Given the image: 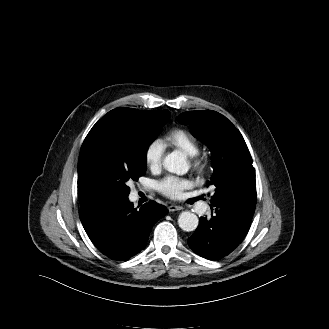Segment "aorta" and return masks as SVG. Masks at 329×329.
<instances>
[{"instance_id": "762f6f07", "label": "aorta", "mask_w": 329, "mask_h": 329, "mask_svg": "<svg viewBox=\"0 0 329 329\" xmlns=\"http://www.w3.org/2000/svg\"><path fill=\"white\" fill-rule=\"evenodd\" d=\"M163 166L167 171L178 175H184L189 170L186 156L180 151H173L168 154L163 161ZM198 223V217L192 212L184 211L179 215L178 225L183 231H194Z\"/></svg>"}]
</instances>
